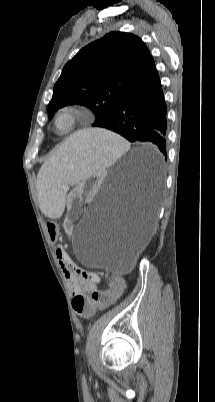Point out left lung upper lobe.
Here are the masks:
<instances>
[{"instance_id":"obj_1","label":"left lung upper lobe","mask_w":215,"mask_h":402,"mask_svg":"<svg viewBox=\"0 0 215 402\" xmlns=\"http://www.w3.org/2000/svg\"><path fill=\"white\" fill-rule=\"evenodd\" d=\"M155 62L137 36L112 32L81 49L63 68L48 104L51 119L68 104H81L96 115L97 126L153 69Z\"/></svg>"}]
</instances>
